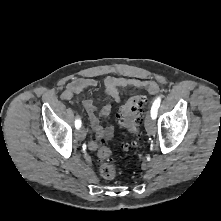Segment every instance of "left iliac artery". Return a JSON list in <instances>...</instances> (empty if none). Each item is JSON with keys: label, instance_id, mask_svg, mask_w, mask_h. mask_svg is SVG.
I'll return each instance as SVG.
<instances>
[{"label": "left iliac artery", "instance_id": "44dca946", "mask_svg": "<svg viewBox=\"0 0 221 221\" xmlns=\"http://www.w3.org/2000/svg\"><path fill=\"white\" fill-rule=\"evenodd\" d=\"M161 98H162L161 96H158L153 102V105L150 111L152 119H156L157 117V111L161 103Z\"/></svg>", "mask_w": 221, "mask_h": 221}]
</instances>
